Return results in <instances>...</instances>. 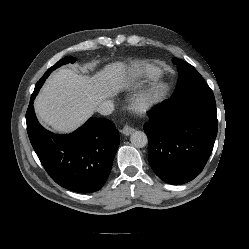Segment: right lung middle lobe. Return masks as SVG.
Returning a JSON list of instances; mask_svg holds the SVG:
<instances>
[{
    "instance_id": "dd1d6c3e",
    "label": "right lung middle lobe",
    "mask_w": 249,
    "mask_h": 249,
    "mask_svg": "<svg viewBox=\"0 0 249 249\" xmlns=\"http://www.w3.org/2000/svg\"><path fill=\"white\" fill-rule=\"evenodd\" d=\"M76 61V58L72 56H67L63 58L62 60L58 61L54 66L48 69V71L43 75V77L38 81L39 83H44L45 79L49 76V74L55 70L57 67H60L61 65L67 64V63H73Z\"/></svg>"
}]
</instances>
